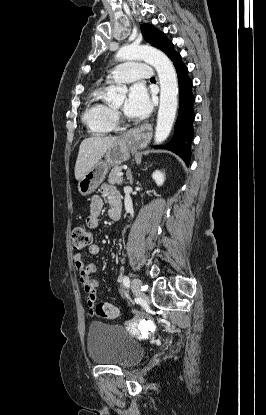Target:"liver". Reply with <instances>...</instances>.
Instances as JSON below:
<instances>
[{
    "label": "liver",
    "instance_id": "1",
    "mask_svg": "<svg viewBox=\"0 0 266 415\" xmlns=\"http://www.w3.org/2000/svg\"><path fill=\"white\" fill-rule=\"evenodd\" d=\"M118 137H89L84 139L79 147L78 157L75 164V178L80 180L94 165L104 156L106 151L113 145Z\"/></svg>",
    "mask_w": 266,
    "mask_h": 415
}]
</instances>
